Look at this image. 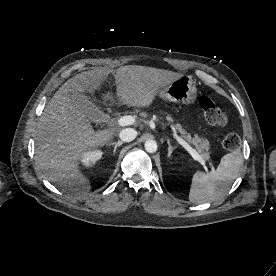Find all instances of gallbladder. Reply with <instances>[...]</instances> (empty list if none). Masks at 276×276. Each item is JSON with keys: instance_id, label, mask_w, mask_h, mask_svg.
Returning <instances> with one entry per match:
<instances>
[{"instance_id": "bac80fb5", "label": "gallbladder", "mask_w": 276, "mask_h": 276, "mask_svg": "<svg viewBox=\"0 0 276 276\" xmlns=\"http://www.w3.org/2000/svg\"><path fill=\"white\" fill-rule=\"evenodd\" d=\"M72 103L81 110L92 122L100 123L105 118L104 112L97 106L95 100H90L82 93H70Z\"/></svg>"}]
</instances>
